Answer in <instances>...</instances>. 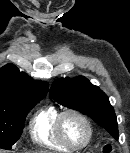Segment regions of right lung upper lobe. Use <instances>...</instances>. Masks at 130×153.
I'll list each match as a JSON object with an SVG mask.
<instances>
[{"instance_id": "right-lung-upper-lobe-1", "label": "right lung upper lobe", "mask_w": 130, "mask_h": 153, "mask_svg": "<svg viewBox=\"0 0 130 153\" xmlns=\"http://www.w3.org/2000/svg\"><path fill=\"white\" fill-rule=\"evenodd\" d=\"M48 91V83L34 81L13 64L0 68V108H19L40 101Z\"/></svg>"}]
</instances>
